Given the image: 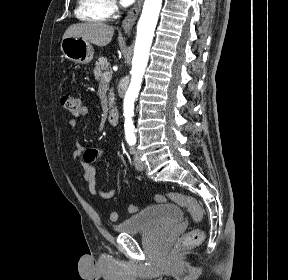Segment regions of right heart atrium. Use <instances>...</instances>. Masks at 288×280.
<instances>
[{
  "label": "right heart atrium",
  "mask_w": 288,
  "mask_h": 280,
  "mask_svg": "<svg viewBox=\"0 0 288 280\" xmlns=\"http://www.w3.org/2000/svg\"><path fill=\"white\" fill-rule=\"evenodd\" d=\"M106 8L108 15H113L117 11L116 0H106Z\"/></svg>",
  "instance_id": "right-heart-atrium-1"
}]
</instances>
